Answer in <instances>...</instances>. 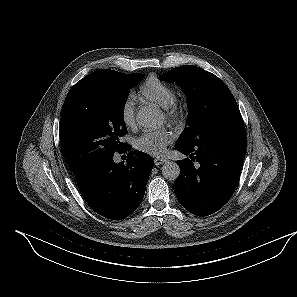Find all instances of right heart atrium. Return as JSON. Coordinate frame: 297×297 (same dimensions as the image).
Wrapping results in <instances>:
<instances>
[{
    "label": "right heart atrium",
    "mask_w": 297,
    "mask_h": 297,
    "mask_svg": "<svg viewBox=\"0 0 297 297\" xmlns=\"http://www.w3.org/2000/svg\"><path fill=\"white\" fill-rule=\"evenodd\" d=\"M120 118L124 126L132 128L135 125V103L132 96H127L120 106Z\"/></svg>",
    "instance_id": "d8ad5b80"
}]
</instances>
